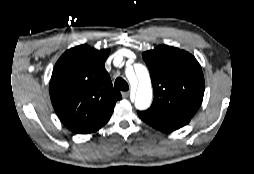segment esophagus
<instances>
[{
  "mask_svg": "<svg viewBox=\"0 0 254 174\" xmlns=\"http://www.w3.org/2000/svg\"><path fill=\"white\" fill-rule=\"evenodd\" d=\"M130 93L128 91L122 92L123 98L127 99L129 97Z\"/></svg>",
  "mask_w": 254,
  "mask_h": 174,
  "instance_id": "obj_1",
  "label": "esophagus"
}]
</instances>
